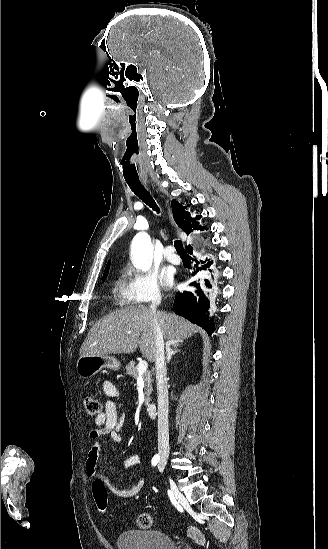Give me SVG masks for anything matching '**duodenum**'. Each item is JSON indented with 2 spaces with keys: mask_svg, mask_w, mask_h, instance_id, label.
Here are the masks:
<instances>
[{
  "mask_svg": "<svg viewBox=\"0 0 328 549\" xmlns=\"http://www.w3.org/2000/svg\"><path fill=\"white\" fill-rule=\"evenodd\" d=\"M146 410L150 417H155L157 415V406L154 403H149Z\"/></svg>",
  "mask_w": 328,
  "mask_h": 549,
  "instance_id": "duodenum-1",
  "label": "duodenum"
}]
</instances>
